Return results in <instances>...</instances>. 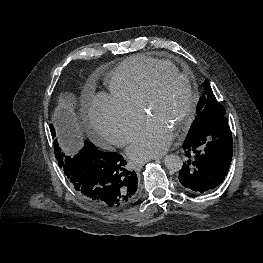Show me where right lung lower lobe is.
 I'll return each instance as SVG.
<instances>
[{
	"label": "right lung lower lobe",
	"mask_w": 263,
	"mask_h": 263,
	"mask_svg": "<svg viewBox=\"0 0 263 263\" xmlns=\"http://www.w3.org/2000/svg\"><path fill=\"white\" fill-rule=\"evenodd\" d=\"M116 152L84 148L63 168L82 198L93 206L116 210L127 206L137 190V175Z\"/></svg>",
	"instance_id": "1"
}]
</instances>
